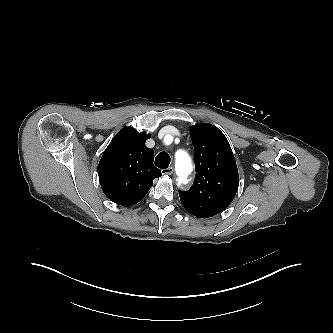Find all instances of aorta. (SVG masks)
<instances>
[{"label":"aorta","mask_w":333,"mask_h":333,"mask_svg":"<svg viewBox=\"0 0 333 333\" xmlns=\"http://www.w3.org/2000/svg\"><path fill=\"white\" fill-rule=\"evenodd\" d=\"M176 168L180 176L184 177L192 170V163L190 157L186 153H181L176 157Z\"/></svg>","instance_id":"762f6f07"}]
</instances>
